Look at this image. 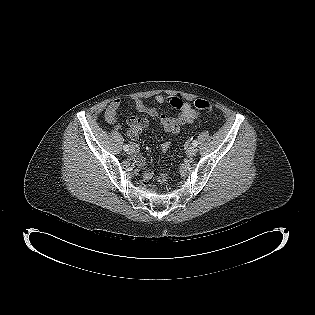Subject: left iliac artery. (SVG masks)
<instances>
[{"mask_svg": "<svg viewBox=\"0 0 315 315\" xmlns=\"http://www.w3.org/2000/svg\"><path fill=\"white\" fill-rule=\"evenodd\" d=\"M192 145L196 147V146L198 145V142H197L196 140H194V141L192 142Z\"/></svg>", "mask_w": 315, "mask_h": 315, "instance_id": "obj_1", "label": "left iliac artery"}]
</instances>
